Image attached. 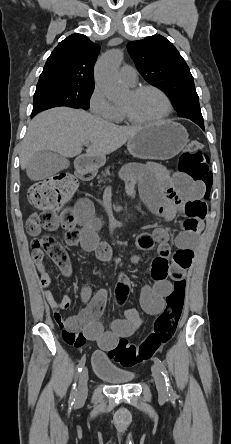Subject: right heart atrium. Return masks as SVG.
Here are the masks:
<instances>
[{"mask_svg":"<svg viewBox=\"0 0 231 444\" xmlns=\"http://www.w3.org/2000/svg\"><path fill=\"white\" fill-rule=\"evenodd\" d=\"M89 107L92 113L101 118L112 121L117 119L118 108L108 100L104 92L97 86L89 97Z\"/></svg>","mask_w":231,"mask_h":444,"instance_id":"d8ad5b80","label":"right heart atrium"}]
</instances>
